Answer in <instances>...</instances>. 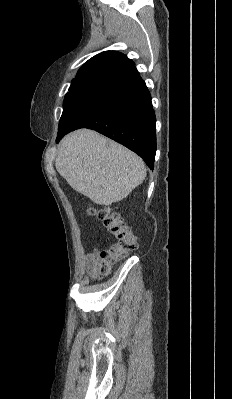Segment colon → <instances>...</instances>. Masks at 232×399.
I'll use <instances>...</instances> for the list:
<instances>
[{
	"instance_id": "obj_1",
	"label": "colon",
	"mask_w": 232,
	"mask_h": 399,
	"mask_svg": "<svg viewBox=\"0 0 232 399\" xmlns=\"http://www.w3.org/2000/svg\"><path fill=\"white\" fill-rule=\"evenodd\" d=\"M107 208L103 207L102 203L98 204V221H102V225H106L108 234H112V249H96V265L100 276L106 273V269L113 267V257L129 258V252L137 251V235L131 234V223L121 221V216L113 218L111 215V211L114 210L113 202L107 203ZM84 210L88 211V216H95L97 206L89 200H84Z\"/></svg>"
}]
</instances>
